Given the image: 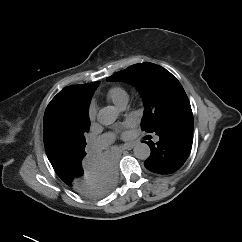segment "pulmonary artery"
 <instances>
[{
  "instance_id": "pulmonary-artery-1",
  "label": "pulmonary artery",
  "mask_w": 242,
  "mask_h": 242,
  "mask_svg": "<svg viewBox=\"0 0 242 242\" xmlns=\"http://www.w3.org/2000/svg\"><path fill=\"white\" fill-rule=\"evenodd\" d=\"M126 105H127V101H124L120 104L119 108L121 110H124L126 108ZM113 140H114V136L112 134H104V135L100 136L99 138H97L96 140H94L91 143V147L94 150H98V149H101V148L109 145ZM155 140H158V138H156Z\"/></svg>"
}]
</instances>
